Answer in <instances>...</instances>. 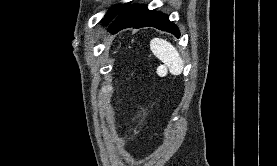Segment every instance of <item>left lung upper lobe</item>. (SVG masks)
<instances>
[{"label": "left lung upper lobe", "instance_id": "left-lung-upper-lobe-1", "mask_svg": "<svg viewBox=\"0 0 277 166\" xmlns=\"http://www.w3.org/2000/svg\"><path fill=\"white\" fill-rule=\"evenodd\" d=\"M128 4H123L119 6L112 7L104 18L105 23H109L113 18H115L121 11H123Z\"/></svg>", "mask_w": 277, "mask_h": 166}]
</instances>
